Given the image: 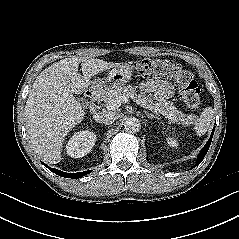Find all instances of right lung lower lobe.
I'll return each instance as SVG.
<instances>
[{
    "label": "right lung lower lobe",
    "instance_id": "right-lung-lower-lobe-1",
    "mask_svg": "<svg viewBox=\"0 0 239 239\" xmlns=\"http://www.w3.org/2000/svg\"><path fill=\"white\" fill-rule=\"evenodd\" d=\"M44 164V163H43ZM48 169H50L52 172H54L55 174L59 175V176H62V177H66V178H80V177H83L85 175H87L88 173H90L91 171L88 170V171H84V172H79V173H66V172H63V171H60V170H57V169H54V168H50L49 166H47L46 164H44Z\"/></svg>",
    "mask_w": 239,
    "mask_h": 239
}]
</instances>
